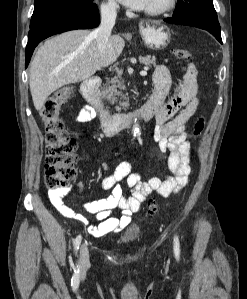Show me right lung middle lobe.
Segmentation results:
<instances>
[{"instance_id":"right-lung-middle-lobe-1","label":"right lung middle lobe","mask_w":247,"mask_h":299,"mask_svg":"<svg viewBox=\"0 0 247 299\" xmlns=\"http://www.w3.org/2000/svg\"><path fill=\"white\" fill-rule=\"evenodd\" d=\"M92 3V0H35L30 27L65 10Z\"/></svg>"}]
</instances>
